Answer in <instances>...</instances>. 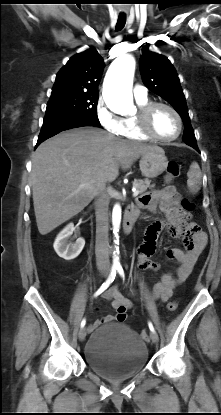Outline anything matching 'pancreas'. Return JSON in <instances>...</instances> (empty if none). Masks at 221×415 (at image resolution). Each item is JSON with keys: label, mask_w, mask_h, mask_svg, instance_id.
I'll use <instances>...</instances> for the list:
<instances>
[{"label": "pancreas", "mask_w": 221, "mask_h": 415, "mask_svg": "<svg viewBox=\"0 0 221 415\" xmlns=\"http://www.w3.org/2000/svg\"><path fill=\"white\" fill-rule=\"evenodd\" d=\"M151 181L148 179L145 180H134L133 187L136 188V190L139 193L145 192L148 188H154L155 185H150Z\"/></svg>", "instance_id": "obj_1"}]
</instances>
